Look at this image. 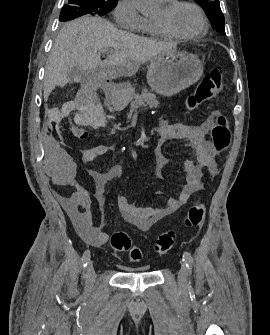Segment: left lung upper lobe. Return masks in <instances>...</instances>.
Masks as SVG:
<instances>
[{
	"label": "left lung upper lobe",
	"mask_w": 270,
	"mask_h": 335,
	"mask_svg": "<svg viewBox=\"0 0 270 335\" xmlns=\"http://www.w3.org/2000/svg\"><path fill=\"white\" fill-rule=\"evenodd\" d=\"M205 11L209 21L219 33L225 35L224 16L221 11L219 1L215 0H195Z\"/></svg>",
	"instance_id": "left-lung-upper-lobe-1"
}]
</instances>
